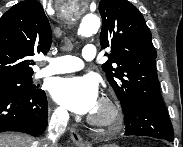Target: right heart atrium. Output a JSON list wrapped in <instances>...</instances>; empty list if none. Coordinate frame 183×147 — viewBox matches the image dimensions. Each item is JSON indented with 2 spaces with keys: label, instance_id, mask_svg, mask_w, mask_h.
<instances>
[{
  "label": "right heart atrium",
  "instance_id": "d8ad5b80",
  "mask_svg": "<svg viewBox=\"0 0 183 147\" xmlns=\"http://www.w3.org/2000/svg\"><path fill=\"white\" fill-rule=\"evenodd\" d=\"M66 119V112L64 109L58 107L52 113V120L55 123H63Z\"/></svg>",
  "mask_w": 183,
  "mask_h": 147
}]
</instances>
